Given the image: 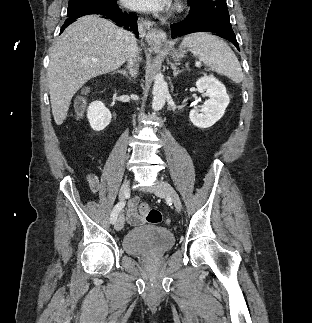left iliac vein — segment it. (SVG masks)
I'll return each instance as SVG.
<instances>
[{
    "instance_id": "1",
    "label": "left iliac vein",
    "mask_w": 312,
    "mask_h": 323,
    "mask_svg": "<svg viewBox=\"0 0 312 323\" xmlns=\"http://www.w3.org/2000/svg\"><path fill=\"white\" fill-rule=\"evenodd\" d=\"M153 192L159 196L165 195L173 202L177 211L180 212L182 210V204L179 195L169 183L165 181H159L158 184L153 187Z\"/></svg>"
}]
</instances>
